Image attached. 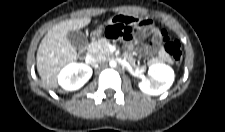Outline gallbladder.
Returning <instances> with one entry per match:
<instances>
[{
    "label": "gallbladder",
    "instance_id": "1",
    "mask_svg": "<svg viewBox=\"0 0 225 132\" xmlns=\"http://www.w3.org/2000/svg\"><path fill=\"white\" fill-rule=\"evenodd\" d=\"M67 38L72 46L77 50L84 49L87 44V37L85 34L79 30H71L67 33Z\"/></svg>",
    "mask_w": 225,
    "mask_h": 132
}]
</instances>
